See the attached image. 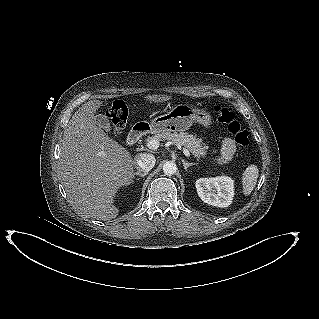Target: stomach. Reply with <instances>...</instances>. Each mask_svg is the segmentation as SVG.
<instances>
[{
	"instance_id": "stomach-1",
	"label": "stomach",
	"mask_w": 319,
	"mask_h": 319,
	"mask_svg": "<svg viewBox=\"0 0 319 319\" xmlns=\"http://www.w3.org/2000/svg\"><path fill=\"white\" fill-rule=\"evenodd\" d=\"M199 123L205 127L212 124L210 114L193 104L182 102L174 105L167 114L154 118L150 127L153 132H184L193 125Z\"/></svg>"
}]
</instances>
